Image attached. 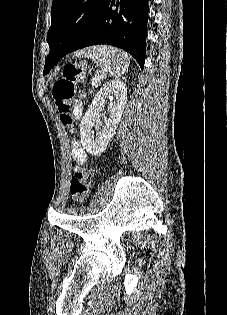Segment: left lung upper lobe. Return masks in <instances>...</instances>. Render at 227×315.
<instances>
[{"label": "left lung upper lobe", "mask_w": 227, "mask_h": 315, "mask_svg": "<svg viewBox=\"0 0 227 315\" xmlns=\"http://www.w3.org/2000/svg\"><path fill=\"white\" fill-rule=\"evenodd\" d=\"M105 1L53 0L47 41L59 38L66 47L75 44L96 19Z\"/></svg>", "instance_id": "left-lung-upper-lobe-1"}]
</instances>
